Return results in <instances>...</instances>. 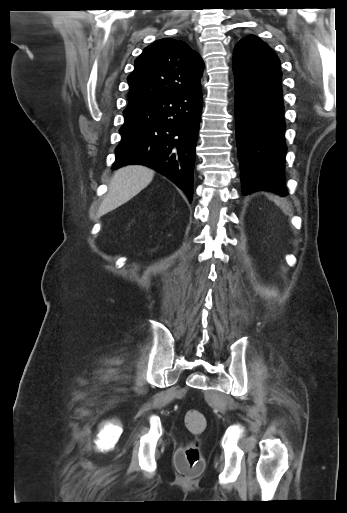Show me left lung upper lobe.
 Returning a JSON list of instances; mask_svg holds the SVG:
<instances>
[{
    "label": "left lung upper lobe",
    "instance_id": "5c2ea615",
    "mask_svg": "<svg viewBox=\"0 0 347 513\" xmlns=\"http://www.w3.org/2000/svg\"><path fill=\"white\" fill-rule=\"evenodd\" d=\"M234 62H242L255 68L280 69V61L276 54L254 35H248L237 43Z\"/></svg>",
    "mask_w": 347,
    "mask_h": 513
}]
</instances>
